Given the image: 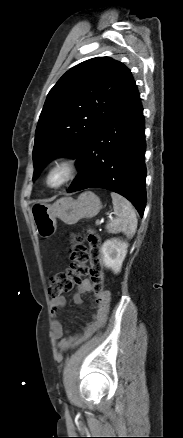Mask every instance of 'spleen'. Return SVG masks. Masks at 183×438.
<instances>
[{
	"label": "spleen",
	"mask_w": 183,
	"mask_h": 438,
	"mask_svg": "<svg viewBox=\"0 0 183 438\" xmlns=\"http://www.w3.org/2000/svg\"><path fill=\"white\" fill-rule=\"evenodd\" d=\"M116 218H110L106 229L109 233L123 232L132 238L137 229V218L131 203L119 194L111 193Z\"/></svg>",
	"instance_id": "spleen-1"
}]
</instances>
